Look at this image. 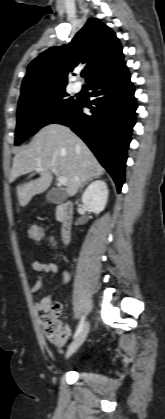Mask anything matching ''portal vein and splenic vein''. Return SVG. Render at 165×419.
I'll return each mask as SVG.
<instances>
[{"label": "portal vein and splenic vein", "mask_w": 165, "mask_h": 419, "mask_svg": "<svg viewBox=\"0 0 165 419\" xmlns=\"http://www.w3.org/2000/svg\"><path fill=\"white\" fill-rule=\"evenodd\" d=\"M36 171L37 172H40V171H42V168L41 167H37L36 168ZM52 171L58 177L59 184L60 185H65L66 182H67V179L65 177H63V176H59L58 173H57V171L54 168L52 169Z\"/></svg>", "instance_id": "1"}]
</instances>
